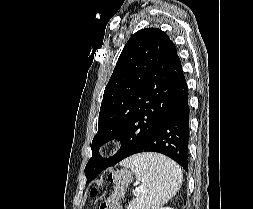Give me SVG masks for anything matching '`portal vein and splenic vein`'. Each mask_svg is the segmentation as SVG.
<instances>
[{
	"instance_id": "18ae733b",
	"label": "portal vein and splenic vein",
	"mask_w": 253,
	"mask_h": 209,
	"mask_svg": "<svg viewBox=\"0 0 253 209\" xmlns=\"http://www.w3.org/2000/svg\"><path fill=\"white\" fill-rule=\"evenodd\" d=\"M141 191H142L141 188H136L135 191H133V193H134V194H138V193H140Z\"/></svg>"
}]
</instances>
